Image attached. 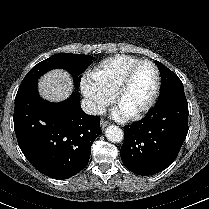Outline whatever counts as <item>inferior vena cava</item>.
<instances>
[{
	"label": "inferior vena cava",
	"instance_id": "inferior-vena-cava-1",
	"mask_svg": "<svg viewBox=\"0 0 209 209\" xmlns=\"http://www.w3.org/2000/svg\"><path fill=\"white\" fill-rule=\"evenodd\" d=\"M82 110L89 115H103L106 113V108L102 103L95 102L89 99L81 101Z\"/></svg>",
	"mask_w": 209,
	"mask_h": 209
}]
</instances>
